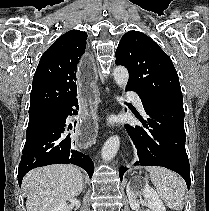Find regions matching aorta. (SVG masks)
Masks as SVG:
<instances>
[{
  "mask_svg": "<svg viewBox=\"0 0 209 211\" xmlns=\"http://www.w3.org/2000/svg\"><path fill=\"white\" fill-rule=\"evenodd\" d=\"M113 77L116 84L125 88L129 79L128 70L123 66L115 67L113 71ZM120 146V137L115 135L111 136L104 144L102 148V158L104 161H110L113 159L119 149Z\"/></svg>",
  "mask_w": 209,
  "mask_h": 211,
  "instance_id": "762f6f07",
  "label": "aorta"
}]
</instances>
